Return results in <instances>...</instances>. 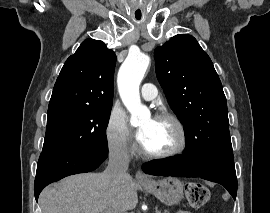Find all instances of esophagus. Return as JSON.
Returning a JSON list of instances; mask_svg holds the SVG:
<instances>
[{
    "instance_id": "34e87169",
    "label": "esophagus",
    "mask_w": 270,
    "mask_h": 213,
    "mask_svg": "<svg viewBox=\"0 0 270 213\" xmlns=\"http://www.w3.org/2000/svg\"><path fill=\"white\" fill-rule=\"evenodd\" d=\"M136 180L138 182H148L150 181V178L147 175H145L142 171L138 170L136 172Z\"/></svg>"
}]
</instances>
